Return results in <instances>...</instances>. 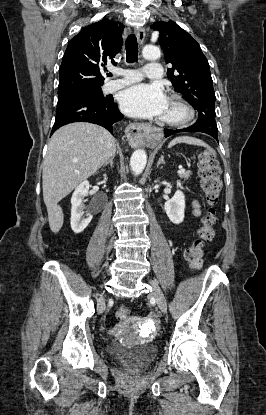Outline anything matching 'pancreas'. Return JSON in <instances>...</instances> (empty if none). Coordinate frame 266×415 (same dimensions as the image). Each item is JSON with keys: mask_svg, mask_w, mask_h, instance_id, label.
<instances>
[{"mask_svg": "<svg viewBox=\"0 0 266 415\" xmlns=\"http://www.w3.org/2000/svg\"><path fill=\"white\" fill-rule=\"evenodd\" d=\"M191 175V171H185L183 173H179V177L183 180H187Z\"/></svg>", "mask_w": 266, "mask_h": 415, "instance_id": "cf45deb5", "label": "pancreas"}]
</instances>
